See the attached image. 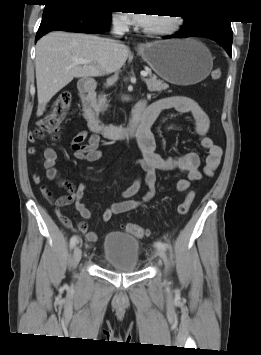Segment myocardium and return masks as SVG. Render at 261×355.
Listing matches in <instances>:
<instances>
[{
  "label": "myocardium",
  "instance_id": "myocardium-1",
  "mask_svg": "<svg viewBox=\"0 0 261 355\" xmlns=\"http://www.w3.org/2000/svg\"><path fill=\"white\" fill-rule=\"evenodd\" d=\"M182 25V18L178 15L171 16V21L167 26L156 29H144V32L150 36H169L175 33Z\"/></svg>",
  "mask_w": 261,
  "mask_h": 355
}]
</instances>
